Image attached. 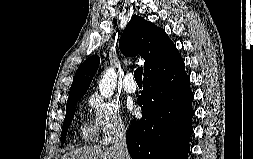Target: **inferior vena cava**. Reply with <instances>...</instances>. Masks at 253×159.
I'll list each match as a JSON object with an SVG mask.
<instances>
[{
	"mask_svg": "<svg viewBox=\"0 0 253 159\" xmlns=\"http://www.w3.org/2000/svg\"><path fill=\"white\" fill-rule=\"evenodd\" d=\"M126 131L123 125L116 128L113 138V149L118 155V159H131L126 146Z\"/></svg>",
	"mask_w": 253,
	"mask_h": 159,
	"instance_id": "inferior-vena-cava-1",
	"label": "inferior vena cava"
}]
</instances>
